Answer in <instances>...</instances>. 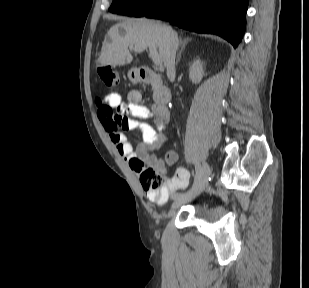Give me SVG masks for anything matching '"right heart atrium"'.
Segmentation results:
<instances>
[{
  "label": "right heart atrium",
  "instance_id": "1",
  "mask_svg": "<svg viewBox=\"0 0 309 288\" xmlns=\"http://www.w3.org/2000/svg\"><path fill=\"white\" fill-rule=\"evenodd\" d=\"M147 2H152L153 0H146Z\"/></svg>",
  "mask_w": 309,
  "mask_h": 288
}]
</instances>
